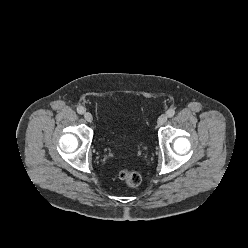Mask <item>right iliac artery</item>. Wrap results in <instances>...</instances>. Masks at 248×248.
Segmentation results:
<instances>
[{
  "label": "right iliac artery",
  "mask_w": 248,
  "mask_h": 248,
  "mask_svg": "<svg viewBox=\"0 0 248 248\" xmlns=\"http://www.w3.org/2000/svg\"><path fill=\"white\" fill-rule=\"evenodd\" d=\"M77 112H78L79 114H83V113L85 112L84 107H82V106L77 107Z\"/></svg>",
  "instance_id": "82829eb1"
}]
</instances>
